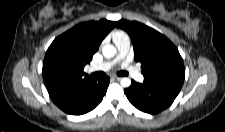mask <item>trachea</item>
<instances>
[{
  "mask_svg": "<svg viewBox=\"0 0 225 132\" xmlns=\"http://www.w3.org/2000/svg\"><path fill=\"white\" fill-rule=\"evenodd\" d=\"M105 74L103 72H96V73H93L92 76L93 77H103ZM118 75L120 76H127L128 75V72H120Z\"/></svg>",
  "mask_w": 225,
  "mask_h": 132,
  "instance_id": "1",
  "label": "trachea"
}]
</instances>
